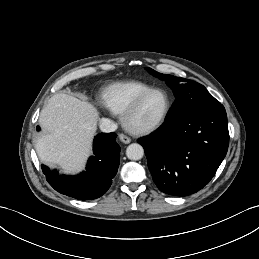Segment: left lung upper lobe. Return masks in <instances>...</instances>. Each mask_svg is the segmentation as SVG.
Here are the masks:
<instances>
[{"instance_id": "obj_1", "label": "left lung upper lobe", "mask_w": 259, "mask_h": 259, "mask_svg": "<svg viewBox=\"0 0 259 259\" xmlns=\"http://www.w3.org/2000/svg\"><path fill=\"white\" fill-rule=\"evenodd\" d=\"M147 70L152 75L165 80L174 91L176 100L166 120L175 119L220 104L203 85L197 82L172 75H164L151 68H147Z\"/></svg>"}]
</instances>
